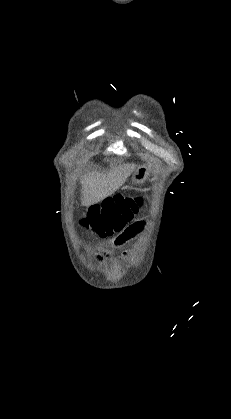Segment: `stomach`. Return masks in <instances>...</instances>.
Returning <instances> with one entry per match:
<instances>
[{
  "label": "stomach",
  "instance_id": "stomach-1",
  "mask_svg": "<svg viewBox=\"0 0 231 419\" xmlns=\"http://www.w3.org/2000/svg\"><path fill=\"white\" fill-rule=\"evenodd\" d=\"M149 174V168L146 165L139 166L132 176V182L135 184L143 183Z\"/></svg>",
  "mask_w": 231,
  "mask_h": 419
}]
</instances>
